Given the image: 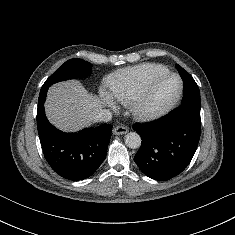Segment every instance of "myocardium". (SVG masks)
<instances>
[{"label": "myocardium", "instance_id": "f54148a6", "mask_svg": "<svg viewBox=\"0 0 235 235\" xmlns=\"http://www.w3.org/2000/svg\"><path fill=\"white\" fill-rule=\"evenodd\" d=\"M165 78H175L179 83L176 95L165 105L150 109L147 107V100L150 96L153 86L160 80ZM183 81L179 75L172 72H165L151 77L145 84L139 95L130 103V110L135 118L143 121L157 119L168 113L180 100L183 93Z\"/></svg>", "mask_w": 235, "mask_h": 235}]
</instances>
